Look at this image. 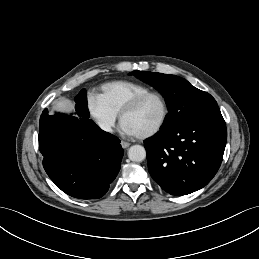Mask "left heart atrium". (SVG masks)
I'll use <instances>...</instances> for the list:
<instances>
[{
  "mask_svg": "<svg viewBox=\"0 0 259 259\" xmlns=\"http://www.w3.org/2000/svg\"><path fill=\"white\" fill-rule=\"evenodd\" d=\"M121 131L123 134L129 135V136L138 135L137 132L128 123L124 121L121 123Z\"/></svg>",
  "mask_w": 259,
  "mask_h": 259,
  "instance_id": "left-heart-atrium-1",
  "label": "left heart atrium"
}]
</instances>
